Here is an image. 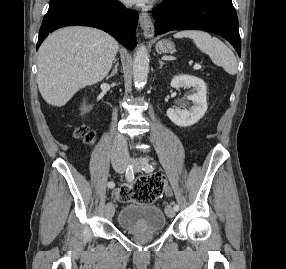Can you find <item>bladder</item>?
<instances>
[{
    "mask_svg": "<svg viewBox=\"0 0 286 269\" xmlns=\"http://www.w3.org/2000/svg\"><path fill=\"white\" fill-rule=\"evenodd\" d=\"M117 223L127 232H161L167 227L165 213L157 205L127 203L118 213Z\"/></svg>",
    "mask_w": 286,
    "mask_h": 269,
    "instance_id": "1",
    "label": "bladder"
}]
</instances>
